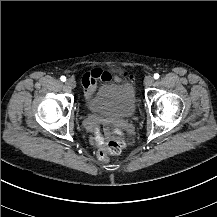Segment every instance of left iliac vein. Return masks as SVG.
Returning <instances> with one entry per match:
<instances>
[{"instance_id":"left-iliac-vein-1","label":"left iliac vein","mask_w":217,"mask_h":217,"mask_svg":"<svg viewBox=\"0 0 217 217\" xmlns=\"http://www.w3.org/2000/svg\"><path fill=\"white\" fill-rule=\"evenodd\" d=\"M144 84L148 87L152 86L154 84V78L152 76L145 77Z\"/></svg>"}]
</instances>
